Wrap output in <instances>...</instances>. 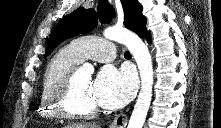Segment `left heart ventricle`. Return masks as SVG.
<instances>
[{"label":"left heart ventricle","mask_w":221,"mask_h":128,"mask_svg":"<svg viewBox=\"0 0 221 128\" xmlns=\"http://www.w3.org/2000/svg\"><path fill=\"white\" fill-rule=\"evenodd\" d=\"M91 77L81 71H77L74 92L71 103L79 109H92L97 107L93 95L90 91Z\"/></svg>","instance_id":"left-heart-ventricle-1"}]
</instances>
